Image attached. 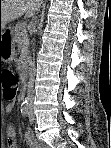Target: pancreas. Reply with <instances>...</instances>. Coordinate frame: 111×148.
Instances as JSON below:
<instances>
[{
  "mask_svg": "<svg viewBox=\"0 0 111 148\" xmlns=\"http://www.w3.org/2000/svg\"><path fill=\"white\" fill-rule=\"evenodd\" d=\"M15 42L24 55L27 52L28 47V35L26 33L25 24H19L15 27Z\"/></svg>",
  "mask_w": 111,
  "mask_h": 148,
  "instance_id": "cf45deb5",
  "label": "pancreas"
}]
</instances>
